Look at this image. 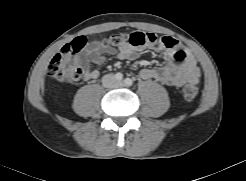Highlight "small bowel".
<instances>
[{"instance_id":"1","label":"small bowel","mask_w":246,"mask_h":181,"mask_svg":"<svg viewBox=\"0 0 246 181\" xmlns=\"http://www.w3.org/2000/svg\"><path fill=\"white\" fill-rule=\"evenodd\" d=\"M158 48L162 51L165 64L160 67H146L140 70L143 79L156 80L164 85L180 87L185 82H197L201 76L200 69L193 54L177 39L170 36L163 37ZM140 49L129 42H121L117 47H105L100 41H91L82 51V59L86 64L100 65L105 55H115L119 59H134ZM99 69H90L86 77L97 79Z\"/></svg>"}]
</instances>
